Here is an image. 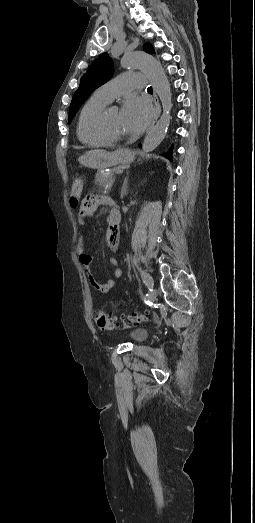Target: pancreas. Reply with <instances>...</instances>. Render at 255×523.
<instances>
[{
	"mask_svg": "<svg viewBox=\"0 0 255 523\" xmlns=\"http://www.w3.org/2000/svg\"><path fill=\"white\" fill-rule=\"evenodd\" d=\"M114 176L115 172L114 170H111V172H108V176H104V174H101V172H98L95 176V184H98V186H103L106 194L111 190L113 184H114Z\"/></svg>",
	"mask_w": 255,
	"mask_h": 523,
	"instance_id": "cf45deb5",
	"label": "pancreas"
}]
</instances>
